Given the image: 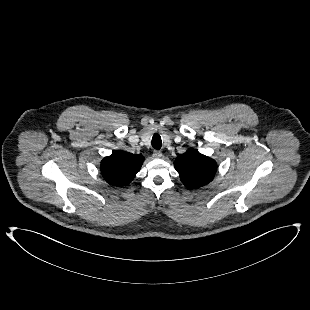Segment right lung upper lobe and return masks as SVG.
Returning a JSON list of instances; mask_svg holds the SVG:
<instances>
[{"mask_svg":"<svg viewBox=\"0 0 310 310\" xmlns=\"http://www.w3.org/2000/svg\"><path fill=\"white\" fill-rule=\"evenodd\" d=\"M143 161L142 155L119 150L101 161V172L110 185L125 186L139 172Z\"/></svg>","mask_w":310,"mask_h":310,"instance_id":"cb5924a9","label":"right lung upper lobe"}]
</instances>
